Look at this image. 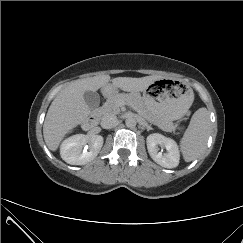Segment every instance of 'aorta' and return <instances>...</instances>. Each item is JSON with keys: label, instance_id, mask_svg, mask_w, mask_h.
<instances>
[{"label": "aorta", "instance_id": "aorta-1", "mask_svg": "<svg viewBox=\"0 0 243 243\" xmlns=\"http://www.w3.org/2000/svg\"><path fill=\"white\" fill-rule=\"evenodd\" d=\"M125 124L128 128H134L137 124V121L133 116H129L126 118Z\"/></svg>", "mask_w": 243, "mask_h": 243}]
</instances>
